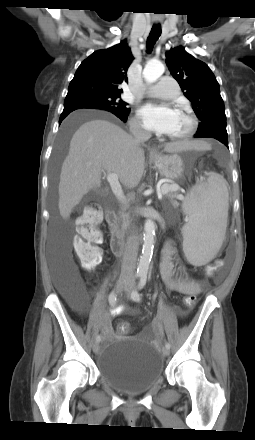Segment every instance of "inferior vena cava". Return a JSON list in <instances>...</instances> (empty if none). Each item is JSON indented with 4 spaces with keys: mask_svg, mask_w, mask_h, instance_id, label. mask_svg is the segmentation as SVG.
<instances>
[{
    "mask_svg": "<svg viewBox=\"0 0 255 440\" xmlns=\"http://www.w3.org/2000/svg\"><path fill=\"white\" fill-rule=\"evenodd\" d=\"M130 131L137 142H144L149 139L150 134L138 125H132ZM139 248V238L136 232H132L127 238L125 251L122 259L120 279L131 281L134 278V271L136 269V261Z\"/></svg>",
    "mask_w": 255,
    "mask_h": 440,
    "instance_id": "602c4592",
    "label": "inferior vena cava"
}]
</instances>
